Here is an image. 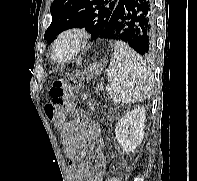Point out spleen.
I'll list each match as a JSON object with an SVG mask.
<instances>
[{
	"mask_svg": "<svg viewBox=\"0 0 197 181\" xmlns=\"http://www.w3.org/2000/svg\"><path fill=\"white\" fill-rule=\"evenodd\" d=\"M115 103L140 102L152 95L153 74L146 62L122 41L115 42L106 70Z\"/></svg>",
	"mask_w": 197,
	"mask_h": 181,
	"instance_id": "3e777b00",
	"label": "spleen"
}]
</instances>
